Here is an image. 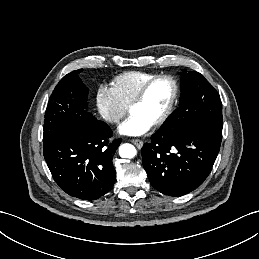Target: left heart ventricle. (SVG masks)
I'll return each instance as SVG.
<instances>
[{"instance_id":"left-heart-ventricle-1","label":"left heart ventricle","mask_w":259,"mask_h":259,"mask_svg":"<svg viewBox=\"0 0 259 259\" xmlns=\"http://www.w3.org/2000/svg\"><path fill=\"white\" fill-rule=\"evenodd\" d=\"M171 96V83L167 80H158L150 86L143 100L131 108V113L153 124L166 110Z\"/></svg>"}]
</instances>
